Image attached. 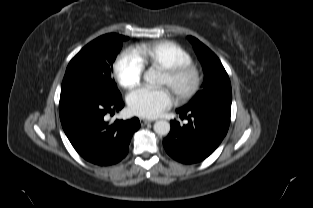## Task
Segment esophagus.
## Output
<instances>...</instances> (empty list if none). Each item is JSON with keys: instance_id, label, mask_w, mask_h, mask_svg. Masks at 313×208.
<instances>
[{"instance_id": "obj_1", "label": "esophagus", "mask_w": 313, "mask_h": 208, "mask_svg": "<svg viewBox=\"0 0 313 208\" xmlns=\"http://www.w3.org/2000/svg\"><path fill=\"white\" fill-rule=\"evenodd\" d=\"M153 120H148V119H140V123L142 126L151 123Z\"/></svg>"}]
</instances>
